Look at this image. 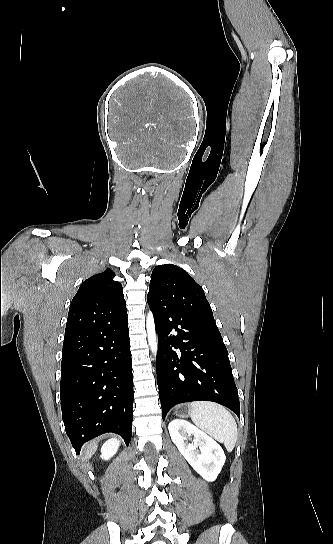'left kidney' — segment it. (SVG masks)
Instances as JSON below:
<instances>
[{
    "label": "left kidney",
    "mask_w": 333,
    "mask_h": 544,
    "mask_svg": "<svg viewBox=\"0 0 333 544\" xmlns=\"http://www.w3.org/2000/svg\"><path fill=\"white\" fill-rule=\"evenodd\" d=\"M168 429L173 443L193 469L206 481H215L226 460L222 447L185 420H172ZM191 435L194 440L188 443Z\"/></svg>",
    "instance_id": "5707ae66"
}]
</instances>
